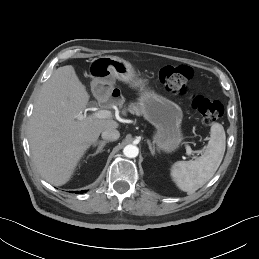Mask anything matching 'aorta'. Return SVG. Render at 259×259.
I'll return each mask as SVG.
<instances>
[{
  "instance_id": "1",
  "label": "aorta",
  "mask_w": 259,
  "mask_h": 259,
  "mask_svg": "<svg viewBox=\"0 0 259 259\" xmlns=\"http://www.w3.org/2000/svg\"><path fill=\"white\" fill-rule=\"evenodd\" d=\"M139 153V149L135 145H127L123 149V154L128 158H135Z\"/></svg>"
}]
</instances>
